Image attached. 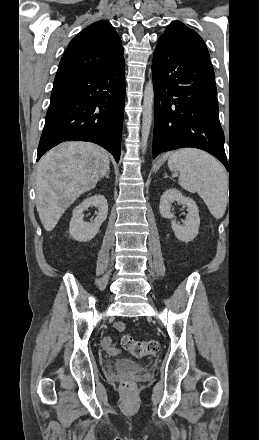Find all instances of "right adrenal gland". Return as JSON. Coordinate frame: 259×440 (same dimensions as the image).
I'll return each instance as SVG.
<instances>
[{
    "label": "right adrenal gland",
    "mask_w": 259,
    "mask_h": 440,
    "mask_svg": "<svg viewBox=\"0 0 259 440\" xmlns=\"http://www.w3.org/2000/svg\"><path fill=\"white\" fill-rule=\"evenodd\" d=\"M109 173H110V171H108V172L104 175V177H106L107 179H109Z\"/></svg>",
    "instance_id": "1"
}]
</instances>
